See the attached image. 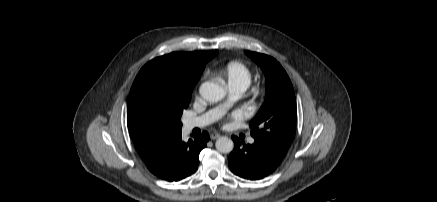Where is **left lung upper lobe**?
I'll use <instances>...</instances> for the list:
<instances>
[{
	"instance_id": "obj_1",
	"label": "left lung upper lobe",
	"mask_w": 437,
	"mask_h": 202,
	"mask_svg": "<svg viewBox=\"0 0 437 202\" xmlns=\"http://www.w3.org/2000/svg\"><path fill=\"white\" fill-rule=\"evenodd\" d=\"M266 77V97L249 126L251 136L282 159L296 131V99L292 83L283 67L272 57L245 51Z\"/></svg>"
}]
</instances>
